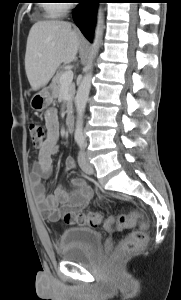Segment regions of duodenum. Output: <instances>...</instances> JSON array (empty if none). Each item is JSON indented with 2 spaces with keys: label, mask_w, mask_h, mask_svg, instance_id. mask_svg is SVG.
Here are the masks:
<instances>
[{
  "label": "duodenum",
  "mask_w": 181,
  "mask_h": 300,
  "mask_svg": "<svg viewBox=\"0 0 181 300\" xmlns=\"http://www.w3.org/2000/svg\"><path fill=\"white\" fill-rule=\"evenodd\" d=\"M75 118L72 111H68L66 114V129L68 132H72L74 130Z\"/></svg>",
  "instance_id": "410a0bca"
}]
</instances>
